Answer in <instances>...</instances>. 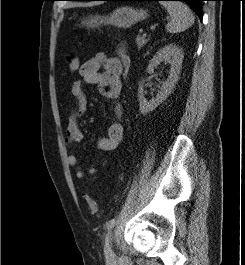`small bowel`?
<instances>
[{
	"label": "small bowel",
	"instance_id": "c3829d8e",
	"mask_svg": "<svg viewBox=\"0 0 245 265\" xmlns=\"http://www.w3.org/2000/svg\"><path fill=\"white\" fill-rule=\"evenodd\" d=\"M103 68V71H100ZM81 79L73 82L71 93L76 98V106L71 111L67 123V142L74 144L82 141L83 133L79 126V119L87 110V95L84 84L98 85L101 94L115 104L116 120L107 131V135L97 140L96 146L101 151H113L118 148L123 139V124L121 121L122 108L119 97L122 89V66L116 57H108L99 52L87 60L79 70ZM67 162L75 168L78 179L84 177V171L78 166L77 156L73 153L67 157Z\"/></svg>",
	"mask_w": 245,
	"mask_h": 265
}]
</instances>
